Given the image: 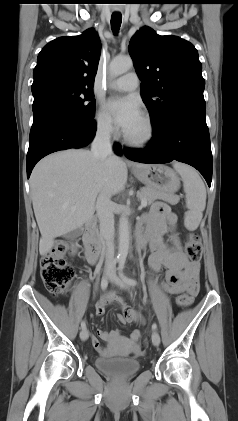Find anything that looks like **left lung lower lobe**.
I'll use <instances>...</instances> for the list:
<instances>
[{"mask_svg":"<svg viewBox=\"0 0 238 421\" xmlns=\"http://www.w3.org/2000/svg\"><path fill=\"white\" fill-rule=\"evenodd\" d=\"M206 107L193 103L172 111L154 128L153 137L143 150L124 149L130 160L141 163H168L177 160L196 168L208 185L212 180V153L206 125Z\"/></svg>","mask_w":238,"mask_h":421,"instance_id":"0a47b994","label":"left lung lower lobe"}]
</instances>
